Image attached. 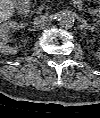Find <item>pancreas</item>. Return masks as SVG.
<instances>
[{
    "mask_svg": "<svg viewBox=\"0 0 100 118\" xmlns=\"http://www.w3.org/2000/svg\"><path fill=\"white\" fill-rule=\"evenodd\" d=\"M45 4H41V6L39 7V11L42 10L44 8Z\"/></svg>",
    "mask_w": 100,
    "mask_h": 118,
    "instance_id": "1",
    "label": "pancreas"
}]
</instances>
